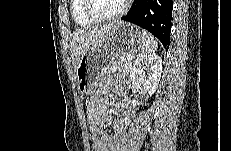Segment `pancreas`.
<instances>
[{"label":"pancreas","mask_w":231,"mask_h":151,"mask_svg":"<svg viewBox=\"0 0 231 151\" xmlns=\"http://www.w3.org/2000/svg\"><path fill=\"white\" fill-rule=\"evenodd\" d=\"M132 66V61L127 60L125 55L119 56L108 67L106 73H114L116 71L129 72Z\"/></svg>","instance_id":"1"}]
</instances>
